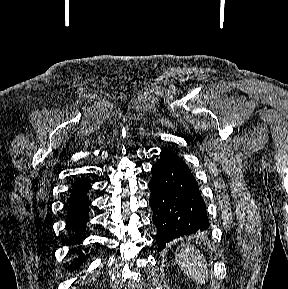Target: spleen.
Listing matches in <instances>:
<instances>
[{
	"instance_id": "3e777b00",
	"label": "spleen",
	"mask_w": 288,
	"mask_h": 289,
	"mask_svg": "<svg viewBox=\"0 0 288 289\" xmlns=\"http://www.w3.org/2000/svg\"><path fill=\"white\" fill-rule=\"evenodd\" d=\"M175 259L181 270L194 282L205 284L208 281L206 259L193 245L181 244L176 251Z\"/></svg>"
}]
</instances>
